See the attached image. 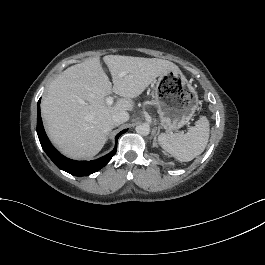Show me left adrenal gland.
I'll return each mask as SVG.
<instances>
[{
  "instance_id": "1",
  "label": "left adrenal gland",
  "mask_w": 265,
  "mask_h": 265,
  "mask_svg": "<svg viewBox=\"0 0 265 265\" xmlns=\"http://www.w3.org/2000/svg\"><path fill=\"white\" fill-rule=\"evenodd\" d=\"M159 132H160V128H158V131H157V133H156V135H155V137H154V140H153V146H154V147L157 146L156 136L159 134Z\"/></svg>"
}]
</instances>
